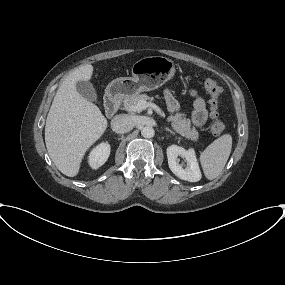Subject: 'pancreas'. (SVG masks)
<instances>
[{
    "label": "pancreas",
    "mask_w": 285,
    "mask_h": 285,
    "mask_svg": "<svg viewBox=\"0 0 285 285\" xmlns=\"http://www.w3.org/2000/svg\"><path fill=\"white\" fill-rule=\"evenodd\" d=\"M153 97H149L146 94H136L128 96L123 101L124 109L129 112H140L134 107L140 101H151ZM168 122H171L172 128L187 139L197 141L199 138V133L194 126H191V120L186 118L184 113H176L175 115H170L167 118Z\"/></svg>",
    "instance_id": "pancreas-1"
}]
</instances>
